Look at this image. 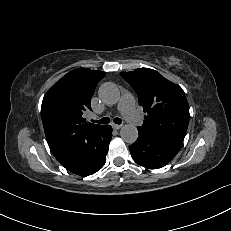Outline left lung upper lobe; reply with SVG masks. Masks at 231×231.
<instances>
[{
	"mask_svg": "<svg viewBox=\"0 0 231 231\" xmlns=\"http://www.w3.org/2000/svg\"><path fill=\"white\" fill-rule=\"evenodd\" d=\"M120 74L135 90L139 104L147 112L138 129L183 142L189 123V106L182 88L149 68Z\"/></svg>",
	"mask_w": 231,
	"mask_h": 231,
	"instance_id": "left-lung-upper-lobe-1",
	"label": "left lung upper lobe"
}]
</instances>
